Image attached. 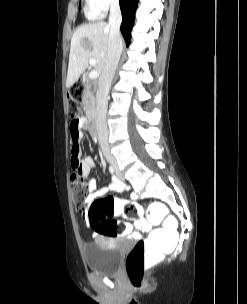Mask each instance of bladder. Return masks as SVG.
<instances>
[{
    "mask_svg": "<svg viewBox=\"0 0 247 304\" xmlns=\"http://www.w3.org/2000/svg\"><path fill=\"white\" fill-rule=\"evenodd\" d=\"M84 257L89 270L114 274L122 261L123 247L111 239L99 238L85 246Z\"/></svg>",
    "mask_w": 247,
    "mask_h": 304,
    "instance_id": "31cf9c89",
    "label": "bladder"
}]
</instances>
